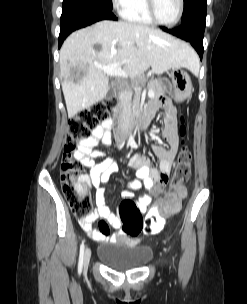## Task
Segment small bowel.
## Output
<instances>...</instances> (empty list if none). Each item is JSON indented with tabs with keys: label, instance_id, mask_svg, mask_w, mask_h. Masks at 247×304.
<instances>
[{
	"label": "small bowel",
	"instance_id": "1",
	"mask_svg": "<svg viewBox=\"0 0 247 304\" xmlns=\"http://www.w3.org/2000/svg\"><path fill=\"white\" fill-rule=\"evenodd\" d=\"M164 110L163 136L168 142V148L154 146L153 150L159 159L158 168L150 166V160L143 155H133L128 166L136 170V178L127 183L126 189L122 191L121 197L130 199L134 197V191L144 188L147 193L138 198L137 206L141 213L147 211L152 202L151 193L155 187L163 186L167 183L173 165V161L179 148V136L177 131V112L171 102L167 100L154 101L149 104L148 109L154 113L158 108ZM113 120L106 119L98 125L92 134L83 139L73 157L83 166L89 169L85 175L88 184L95 188L96 208L86 220L80 221V225L87 235L94 241H115L124 237V232L120 230L122 221L119 216L114 214L108 206L103 185L108 182L110 177L117 172L118 164L114 159H106L98 162L97 160L105 156L104 152L97 149L98 144L110 145L112 142ZM103 219L97 230L92 228V223L97 219ZM109 226L117 232L110 234Z\"/></svg>",
	"mask_w": 247,
	"mask_h": 304
}]
</instances>
